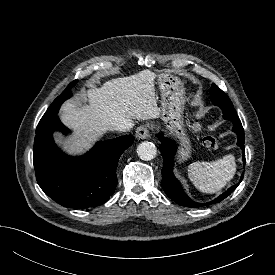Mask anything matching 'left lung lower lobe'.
Wrapping results in <instances>:
<instances>
[{"instance_id": "obj_1", "label": "left lung lower lobe", "mask_w": 275, "mask_h": 275, "mask_svg": "<svg viewBox=\"0 0 275 275\" xmlns=\"http://www.w3.org/2000/svg\"><path fill=\"white\" fill-rule=\"evenodd\" d=\"M223 112H227L226 119L230 120L233 123V132L237 134L238 142L237 145L242 149L243 154V163L245 164V137H244V129L242 127L241 121L238 117H234L235 109L233 107H228L226 104H222L219 106ZM159 140L162 142L160 145V151L163 157V168H162V181L161 186L167 196L175 201L180 206L198 208L201 206L211 205L214 203L221 202L226 197H228L241 183L243 179V175L240 178V181L230 187L226 192L221 194L219 197L214 199L208 203H197L191 200L183 191L179 181L173 175V167H174V156L177 151V145L171 139L164 137L162 133L158 134Z\"/></svg>"}]
</instances>
